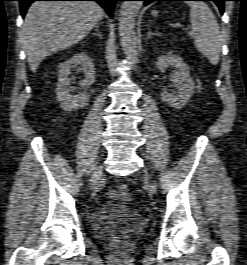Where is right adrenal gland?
<instances>
[{"label": "right adrenal gland", "mask_w": 247, "mask_h": 265, "mask_svg": "<svg viewBox=\"0 0 247 265\" xmlns=\"http://www.w3.org/2000/svg\"><path fill=\"white\" fill-rule=\"evenodd\" d=\"M95 31H96V33H93V34H94V35H97V36L100 37V38H102V35L100 34L99 26H98V25L95 26Z\"/></svg>", "instance_id": "obj_1"}]
</instances>
